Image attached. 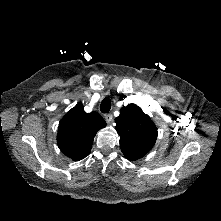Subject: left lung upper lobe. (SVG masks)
I'll use <instances>...</instances> for the list:
<instances>
[{
  "mask_svg": "<svg viewBox=\"0 0 221 221\" xmlns=\"http://www.w3.org/2000/svg\"><path fill=\"white\" fill-rule=\"evenodd\" d=\"M122 153L135 161L147 154L157 139V128L151 118L135 104L120 109L115 119Z\"/></svg>",
  "mask_w": 221,
  "mask_h": 221,
  "instance_id": "obj_1",
  "label": "left lung upper lobe"
}]
</instances>
